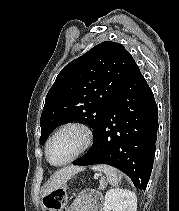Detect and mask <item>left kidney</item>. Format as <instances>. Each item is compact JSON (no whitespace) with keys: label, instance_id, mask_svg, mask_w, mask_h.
Segmentation results:
<instances>
[{"label":"left kidney","instance_id":"5707ae66","mask_svg":"<svg viewBox=\"0 0 179 211\" xmlns=\"http://www.w3.org/2000/svg\"><path fill=\"white\" fill-rule=\"evenodd\" d=\"M104 211H137L136 194L119 188L107 191Z\"/></svg>","mask_w":179,"mask_h":211}]
</instances>
